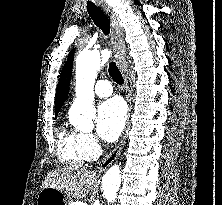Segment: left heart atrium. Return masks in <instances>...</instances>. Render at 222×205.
Wrapping results in <instances>:
<instances>
[{
  "mask_svg": "<svg viewBox=\"0 0 222 205\" xmlns=\"http://www.w3.org/2000/svg\"><path fill=\"white\" fill-rule=\"evenodd\" d=\"M125 122L126 109L121 99L111 98L99 106L97 131L105 141H115L120 136Z\"/></svg>",
  "mask_w": 222,
  "mask_h": 205,
  "instance_id": "left-heart-atrium-1",
  "label": "left heart atrium"
}]
</instances>
